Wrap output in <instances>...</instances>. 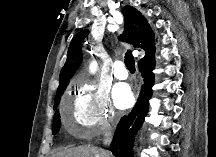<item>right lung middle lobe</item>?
Returning <instances> with one entry per match:
<instances>
[{"mask_svg": "<svg viewBox=\"0 0 216 157\" xmlns=\"http://www.w3.org/2000/svg\"><path fill=\"white\" fill-rule=\"evenodd\" d=\"M65 90V89H64ZM64 90H62L55 98V102H54V109H56L58 107L61 95L64 93ZM61 127V122H60V114H59V110H57L55 112V116H54V121H53V134H56L59 129Z\"/></svg>", "mask_w": 216, "mask_h": 157, "instance_id": "dd1d6c3e", "label": "right lung middle lobe"}]
</instances>
